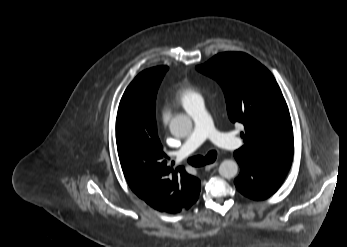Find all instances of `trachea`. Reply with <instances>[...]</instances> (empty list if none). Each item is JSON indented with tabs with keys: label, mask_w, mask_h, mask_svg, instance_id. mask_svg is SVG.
<instances>
[{
	"label": "trachea",
	"mask_w": 347,
	"mask_h": 247,
	"mask_svg": "<svg viewBox=\"0 0 347 247\" xmlns=\"http://www.w3.org/2000/svg\"><path fill=\"white\" fill-rule=\"evenodd\" d=\"M216 157H217V152L210 151L205 157L197 155V156L189 158L188 163L192 166L200 167L206 164L213 163L216 160Z\"/></svg>",
	"instance_id": "1"
}]
</instances>
